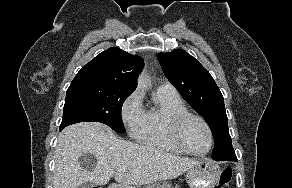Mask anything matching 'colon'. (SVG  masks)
Masks as SVG:
<instances>
[{
  "mask_svg": "<svg viewBox=\"0 0 292 188\" xmlns=\"http://www.w3.org/2000/svg\"><path fill=\"white\" fill-rule=\"evenodd\" d=\"M232 179V169L225 168L220 175L219 181L214 188H229ZM97 188V187H93Z\"/></svg>",
  "mask_w": 292,
  "mask_h": 188,
  "instance_id": "colon-1",
  "label": "colon"
}]
</instances>
